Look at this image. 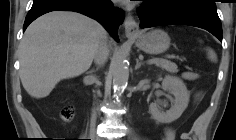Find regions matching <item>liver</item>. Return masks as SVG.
Returning <instances> with one entry per match:
<instances>
[{"mask_svg":"<svg viewBox=\"0 0 236 140\" xmlns=\"http://www.w3.org/2000/svg\"><path fill=\"white\" fill-rule=\"evenodd\" d=\"M105 29L95 20L69 11H54L36 19L19 47L20 79L27 93L47 97L63 79L87 71Z\"/></svg>","mask_w":236,"mask_h":140,"instance_id":"1","label":"liver"}]
</instances>
